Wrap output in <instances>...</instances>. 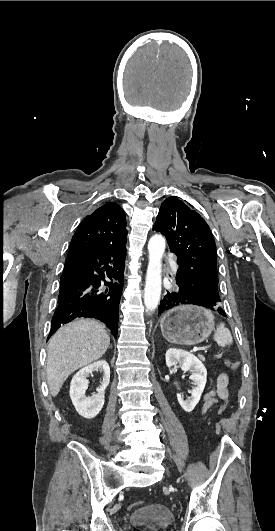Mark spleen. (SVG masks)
<instances>
[{"label":"spleen","mask_w":275,"mask_h":531,"mask_svg":"<svg viewBox=\"0 0 275 531\" xmlns=\"http://www.w3.org/2000/svg\"><path fill=\"white\" fill-rule=\"evenodd\" d=\"M214 341H216L219 347H227V345H232V335L229 329H226L224 323H220V325H217L216 333L214 335Z\"/></svg>","instance_id":"1"}]
</instances>
